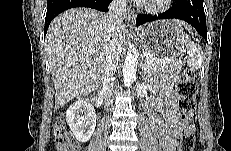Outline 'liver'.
<instances>
[{"instance_id":"6515ba94","label":"liver","mask_w":231,"mask_h":151,"mask_svg":"<svg viewBox=\"0 0 231 151\" xmlns=\"http://www.w3.org/2000/svg\"><path fill=\"white\" fill-rule=\"evenodd\" d=\"M177 22L186 26L182 21ZM111 41L122 51L124 26L111 38L106 14L91 8L69 9L51 22L45 50L55 88L56 109L98 87L103 80L106 50Z\"/></svg>"}]
</instances>
